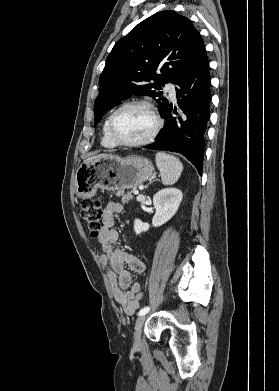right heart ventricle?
Wrapping results in <instances>:
<instances>
[{"instance_id": "e07e8e85", "label": "right heart ventricle", "mask_w": 279, "mask_h": 391, "mask_svg": "<svg viewBox=\"0 0 279 391\" xmlns=\"http://www.w3.org/2000/svg\"><path fill=\"white\" fill-rule=\"evenodd\" d=\"M108 119H109V116L105 119L104 123H103V126H102V136H101V145L106 148V149H114L117 147L116 144H114L109 136H108V132H107V125H108Z\"/></svg>"}]
</instances>
